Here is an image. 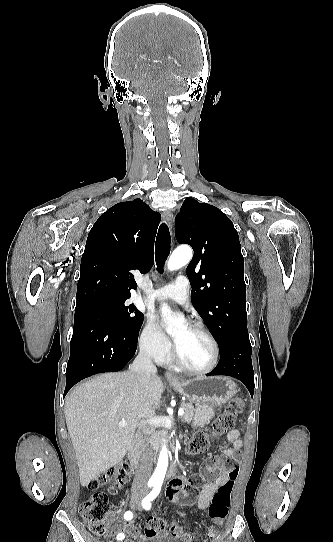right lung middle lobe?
Masks as SVG:
<instances>
[{
	"mask_svg": "<svg viewBox=\"0 0 333 542\" xmlns=\"http://www.w3.org/2000/svg\"><path fill=\"white\" fill-rule=\"evenodd\" d=\"M126 300L116 299L107 294H92L78 305H89L101 310L113 323L124 331L137 334L142 326L144 315Z\"/></svg>",
	"mask_w": 333,
	"mask_h": 542,
	"instance_id": "dd1d6c3e",
	"label": "right lung middle lobe"
}]
</instances>
